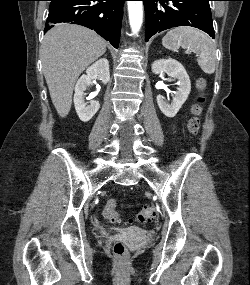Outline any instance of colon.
<instances>
[{"instance_id":"colon-1","label":"colon","mask_w":250,"mask_h":285,"mask_svg":"<svg viewBox=\"0 0 250 285\" xmlns=\"http://www.w3.org/2000/svg\"><path fill=\"white\" fill-rule=\"evenodd\" d=\"M197 87L200 91H203L205 88V81L203 79H199L197 81ZM203 100L204 98L199 96L192 109L193 117L190 119L188 124L189 131L192 134H197L200 129V121L198 116L201 113V104L203 103ZM102 214L108 221L112 223H120V217L116 211L115 199H109L105 203ZM155 215L156 209L152 205H144L135 215V221L141 224L148 223L155 218ZM113 254L119 261L125 260L128 254L126 246L120 241L115 242L113 245Z\"/></svg>"}]
</instances>
